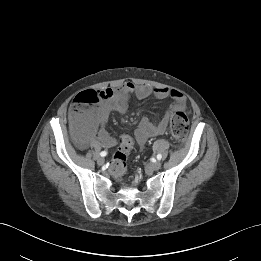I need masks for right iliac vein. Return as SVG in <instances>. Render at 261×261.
Returning <instances> with one entry per match:
<instances>
[{
	"mask_svg": "<svg viewBox=\"0 0 261 261\" xmlns=\"http://www.w3.org/2000/svg\"><path fill=\"white\" fill-rule=\"evenodd\" d=\"M104 162H105V159H104V158L99 157V158L97 159V164H98V165H103Z\"/></svg>",
	"mask_w": 261,
	"mask_h": 261,
	"instance_id": "1",
	"label": "right iliac vein"
}]
</instances>
